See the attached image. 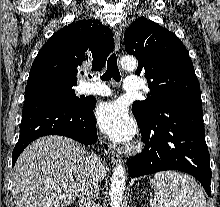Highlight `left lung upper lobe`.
Listing matches in <instances>:
<instances>
[{"mask_svg": "<svg viewBox=\"0 0 220 207\" xmlns=\"http://www.w3.org/2000/svg\"><path fill=\"white\" fill-rule=\"evenodd\" d=\"M124 41L126 52L138 59L136 74H145L150 89L145 100L132 105L139 124L153 121L176 101L201 99L189 53L174 33L141 17L126 29Z\"/></svg>", "mask_w": 220, "mask_h": 207, "instance_id": "1", "label": "left lung upper lobe"}]
</instances>
